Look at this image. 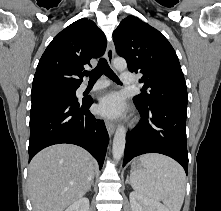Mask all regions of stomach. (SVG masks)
<instances>
[{"instance_id":"stomach-1","label":"stomach","mask_w":221,"mask_h":211,"mask_svg":"<svg viewBox=\"0 0 221 211\" xmlns=\"http://www.w3.org/2000/svg\"><path fill=\"white\" fill-rule=\"evenodd\" d=\"M142 168H143V166H142V164L140 163L139 160H134L132 162V165H131V170L132 171L140 170Z\"/></svg>"}]
</instances>
